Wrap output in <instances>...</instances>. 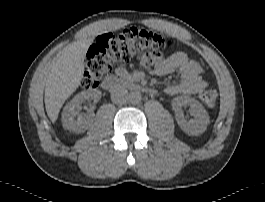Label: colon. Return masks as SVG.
Wrapping results in <instances>:
<instances>
[{
  "instance_id": "1",
  "label": "colon",
  "mask_w": 265,
  "mask_h": 202,
  "mask_svg": "<svg viewBox=\"0 0 265 202\" xmlns=\"http://www.w3.org/2000/svg\"><path fill=\"white\" fill-rule=\"evenodd\" d=\"M171 47L169 38L144 28L130 27L116 34H103L89 48L82 85L88 89L97 87L115 64H128L136 60L151 67L159 52ZM218 96L215 87L205 88L199 93L202 103L210 109L217 106Z\"/></svg>"
}]
</instances>
